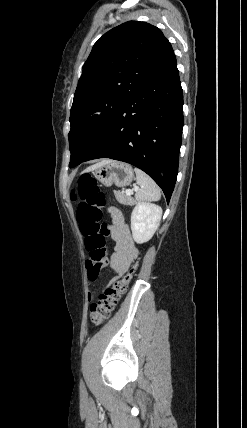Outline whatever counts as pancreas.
<instances>
[{
  "mask_svg": "<svg viewBox=\"0 0 247 428\" xmlns=\"http://www.w3.org/2000/svg\"><path fill=\"white\" fill-rule=\"evenodd\" d=\"M114 195H115L117 201L123 205L133 206L136 204V200L134 198H132L131 196H128V195H124L120 191H114Z\"/></svg>",
  "mask_w": 247,
  "mask_h": 428,
  "instance_id": "obj_1",
  "label": "pancreas"
}]
</instances>
